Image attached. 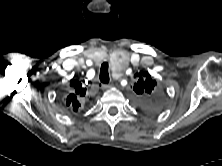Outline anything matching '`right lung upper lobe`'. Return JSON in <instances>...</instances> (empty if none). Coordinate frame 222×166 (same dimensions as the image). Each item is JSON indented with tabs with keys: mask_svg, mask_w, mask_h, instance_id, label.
Segmentation results:
<instances>
[{
	"mask_svg": "<svg viewBox=\"0 0 222 166\" xmlns=\"http://www.w3.org/2000/svg\"><path fill=\"white\" fill-rule=\"evenodd\" d=\"M77 85H80V83L77 81V80H72L71 81V86H73V87H75V89H76V92L77 93H79V91H80V86L79 87H77ZM72 96H74L75 97V99H72V102L74 103L73 105H75L76 103H78L77 101H76V99H77V97L74 95V94H72ZM71 102V101H70ZM79 104V103H78ZM75 107V106H74ZM76 108H78V106H76Z\"/></svg>",
	"mask_w": 222,
	"mask_h": 166,
	"instance_id": "1",
	"label": "right lung upper lobe"
}]
</instances>
